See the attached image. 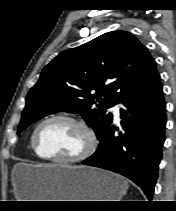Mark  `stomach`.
<instances>
[{
  "instance_id": "stomach-1",
  "label": "stomach",
  "mask_w": 176,
  "mask_h": 211,
  "mask_svg": "<svg viewBox=\"0 0 176 211\" xmlns=\"http://www.w3.org/2000/svg\"><path fill=\"white\" fill-rule=\"evenodd\" d=\"M12 185L18 201H120L128 189L118 174L65 164H17Z\"/></svg>"
}]
</instances>
